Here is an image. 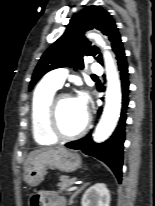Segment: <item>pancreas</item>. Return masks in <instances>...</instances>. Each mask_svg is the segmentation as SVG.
I'll use <instances>...</instances> for the list:
<instances>
[{"mask_svg": "<svg viewBox=\"0 0 155 206\" xmlns=\"http://www.w3.org/2000/svg\"><path fill=\"white\" fill-rule=\"evenodd\" d=\"M60 181L61 182L57 185L59 189L68 190L76 180L74 178H69L68 176L62 175L60 176Z\"/></svg>", "mask_w": 155, "mask_h": 206, "instance_id": "pancreas-1", "label": "pancreas"}]
</instances>
